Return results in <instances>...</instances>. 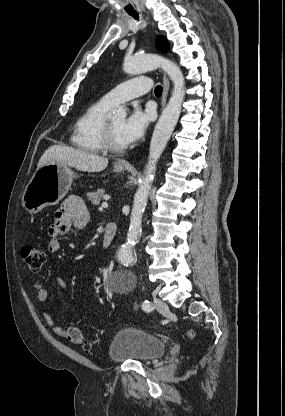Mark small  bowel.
Returning a JSON list of instances; mask_svg holds the SVG:
<instances>
[{
  "label": "small bowel",
  "mask_w": 285,
  "mask_h": 416,
  "mask_svg": "<svg viewBox=\"0 0 285 416\" xmlns=\"http://www.w3.org/2000/svg\"><path fill=\"white\" fill-rule=\"evenodd\" d=\"M89 221V213L84 201L77 196L69 197L56 212L54 223L48 228L50 240L48 242V250L56 253L61 250L60 236L70 233L72 230H81ZM52 286L64 288L66 282L61 277L53 279L49 286L36 284L38 299L40 302H47L51 296ZM46 324L50 327L54 334L60 337L66 336V330L57 325L51 314L47 311L43 312Z\"/></svg>",
  "instance_id": "small-bowel-1"
}]
</instances>
